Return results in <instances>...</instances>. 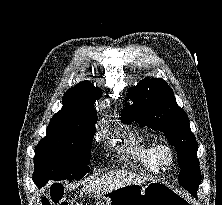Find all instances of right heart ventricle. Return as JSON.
Masks as SVG:
<instances>
[{
	"mask_svg": "<svg viewBox=\"0 0 222 205\" xmlns=\"http://www.w3.org/2000/svg\"><path fill=\"white\" fill-rule=\"evenodd\" d=\"M130 154L146 169L154 173H160L162 171V164L156 156V143L153 139L141 137L133 138Z\"/></svg>",
	"mask_w": 222,
	"mask_h": 205,
	"instance_id": "right-heart-ventricle-1",
	"label": "right heart ventricle"
}]
</instances>
